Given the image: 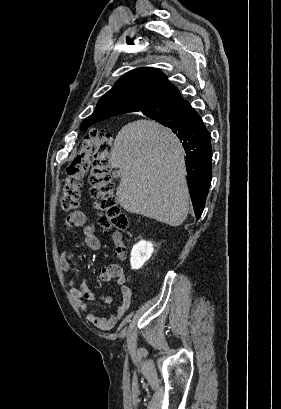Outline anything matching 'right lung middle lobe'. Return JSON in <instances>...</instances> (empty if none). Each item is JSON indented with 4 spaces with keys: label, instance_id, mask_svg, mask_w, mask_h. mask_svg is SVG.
I'll return each instance as SVG.
<instances>
[{
    "label": "right lung middle lobe",
    "instance_id": "right-lung-middle-lobe-1",
    "mask_svg": "<svg viewBox=\"0 0 281 409\" xmlns=\"http://www.w3.org/2000/svg\"><path fill=\"white\" fill-rule=\"evenodd\" d=\"M154 120L168 127L169 125L178 121V118H176L175 116H167V117L154 118Z\"/></svg>",
    "mask_w": 281,
    "mask_h": 409
}]
</instances>
